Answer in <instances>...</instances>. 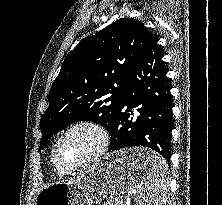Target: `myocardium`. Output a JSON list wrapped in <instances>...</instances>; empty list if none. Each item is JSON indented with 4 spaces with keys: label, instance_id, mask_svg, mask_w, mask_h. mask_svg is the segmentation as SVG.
Wrapping results in <instances>:
<instances>
[{
    "label": "myocardium",
    "instance_id": "1",
    "mask_svg": "<svg viewBox=\"0 0 222 205\" xmlns=\"http://www.w3.org/2000/svg\"><path fill=\"white\" fill-rule=\"evenodd\" d=\"M77 129L92 130L99 138L98 146L93 153L87 156L80 163L72 167H64L58 162V159H57L56 153H57L58 146L67 135H69L71 132ZM109 141H110L109 134L106 128L100 123L95 122V121H90V120H82V121L75 122L69 127H67L61 133V135L57 138L56 142L54 143L52 151H51L52 162L54 166L56 167V169L59 170L61 173H71V172L77 171L79 169L87 167L88 165L100 159L105 153V151L107 150Z\"/></svg>",
    "mask_w": 222,
    "mask_h": 205
}]
</instances>
